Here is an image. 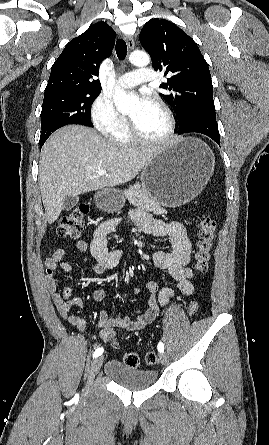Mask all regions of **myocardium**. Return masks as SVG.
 Returning a JSON list of instances; mask_svg holds the SVG:
<instances>
[{
  "label": "myocardium",
  "mask_w": 269,
  "mask_h": 445,
  "mask_svg": "<svg viewBox=\"0 0 269 445\" xmlns=\"http://www.w3.org/2000/svg\"><path fill=\"white\" fill-rule=\"evenodd\" d=\"M151 102L154 103L156 106H158L167 117L168 128L165 134L159 138H147L140 133V131L138 130V128L136 127L135 123L132 121L131 118L128 119V127L135 141L147 145H162L167 143L175 133L176 130L175 116L170 107L162 100L158 98H153Z\"/></svg>",
  "instance_id": "1"
}]
</instances>
